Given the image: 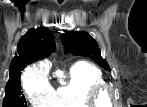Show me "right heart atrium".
I'll return each mask as SVG.
<instances>
[{
  "label": "right heart atrium",
  "instance_id": "obj_1",
  "mask_svg": "<svg viewBox=\"0 0 147 107\" xmlns=\"http://www.w3.org/2000/svg\"><path fill=\"white\" fill-rule=\"evenodd\" d=\"M23 86L31 104L45 105L52 97L47 69L42 66H34L27 71Z\"/></svg>",
  "mask_w": 147,
  "mask_h": 107
}]
</instances>
